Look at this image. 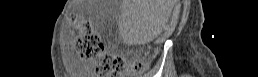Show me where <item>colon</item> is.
Here are the masks:
<instances>
[{
	"instance_id": "colon-1",
	"label": "colon",
	"mask_w": 258,
	"mask_h": 77,
	"mask_svg": "<svg viewBox=\"0 0 258 77\" xmlns=\"http://www.w3.org/2000/svg\"><path fill=\"white\" fill-rule=\"evenodd\" d=\"M75 47L82 59L96 60L97 74L118 73L128 67L134 73H141L145 69L144 61H129L120 56L106 53L99 35L87 24L82 25V34L77 38Z\"/></svg>"
}]
</instances>
